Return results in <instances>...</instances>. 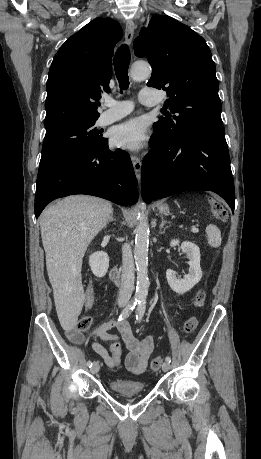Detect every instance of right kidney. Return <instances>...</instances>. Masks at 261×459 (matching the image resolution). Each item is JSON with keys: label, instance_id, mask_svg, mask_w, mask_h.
I'll return each mask as SVG.
<instances>
[{"label": "right kidney", "instance_id": "1", "mask_svg": "<svg viewBox=\"0 0 261 459\" xmlns=\"http://www.w3.org/2000/svg\"><path fill=\"white\" fill-rule=\"evenodd\" d=\"M89 265L96 277H104L109 267V256L106 252L98 251L90 255Z\"/></svg>", "mask_w": 261, "mask_h": 459}]
</instances>
